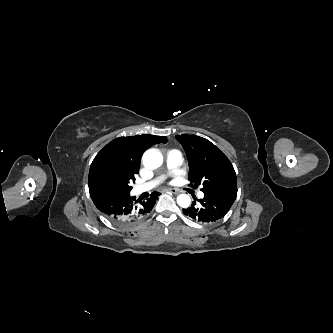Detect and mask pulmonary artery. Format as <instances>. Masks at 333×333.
I'll return each mask as SVG.
<instances>
[{"instance_id": "e3ab8cb5", "label": "pulmonary artery", "mask_w": 333, "mask_h": 333, "mask_svg": "<svg viewBox=\"0 0 333 333\" xmlns=\"http://www.w3.org/2000/svg\"><path fill=\"white\" fill-rule=\"evenodd\" d=\"M182 163V154L177 149L169 150L166 153V167L168 170H174L177 167H179ZM164 179V176H159L149 182L139 184L135 186L134 188V194L139 195L143 192L149 191L153 188H155L162 180ZM198 197L203 198L204 193L202 191L198 192Z\"/></svg>"}]
</instances>
